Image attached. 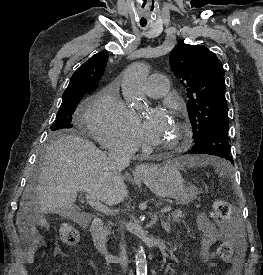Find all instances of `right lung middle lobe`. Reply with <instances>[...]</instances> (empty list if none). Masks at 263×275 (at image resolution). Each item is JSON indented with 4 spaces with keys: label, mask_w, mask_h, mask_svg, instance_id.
<instances>
[{
    "label": "right lung middle lobe",
    "mask_w": 263,
    "mask_h": 275,
    "mask_svg": "<svg viewBox=\"0 0 263 275\" xmlns=\"http://www.w3.org/2000/svg\"><path fill=\"white\" fill-rule=\"evenodd\" d=\"M88 92L89 91L87 90H78L63 94L62 103L59 111L57 112L55 123L50 127L52 131L72 127V114L74 113L83 95Z\"/></svg>",
    "instance_id": "dd1d6c3e"
}]
</instances>
